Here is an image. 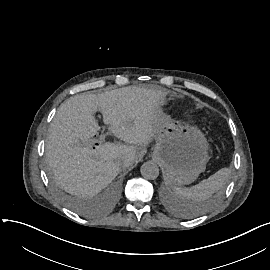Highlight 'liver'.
Masks as SVG:
<instances>
[{
    "mask_svg": "<svg viewBox=\"0 0 270 270\" xmlns=\"http://www.w3.org/2000/svg\"><path fill=\"white\" fill-rule=\"evenodd\" d=\"M165 95L159 89L127 86L98 95L77 94L62 103L45 146L56 184L82 198L106 188L122 167L134 163L136 145L152 141ZM97 111L125 144L105 142L95 149L84 144L100 130L94 117Z\"/></svg>",
    "mask_w": 270,
    "mask_h": 270,
    "instance_id": "1",
    "label": "liver"
}]
</instances>
